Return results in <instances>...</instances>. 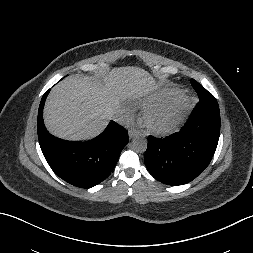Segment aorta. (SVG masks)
Listing matches in <instances>:
<instances>
[{
    "mask_svg": "<svg viewBox=\"0 0 253 253\" xmlns=\"http://www.w3.org/2000/svg\"><path fill=\"white\" fill-rule=\"evenodd\" d=\"M133 149L137 153H143L147 149V139L143 136H136L132 141Z\"/></svg>",
    "mask_w": 253,
    "mask_h": 253,
    "instance_id": "1",
    "label": "aorta"
}]
</instances>
